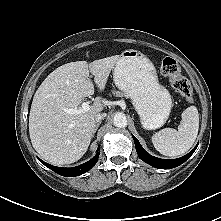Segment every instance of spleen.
I'll return each instance as SVG.
<instances>
[{"instance_id": "obj_1", "label": "spleen", "mask_w": 221, "mask_h": 221, "mask_svg": "<svg viewBox=\"0 0 221 221\" xmlns=\"http://www.w3.org/2000/svg\"><path fill=\"white\" fill-rule=\"evenodd\" d=\"M198 130V110L195 106H190L183 111L178 130L164 128L152 136V143L155 149L165 156H179L193 146Z\"/></svg>"}]
</instances>
